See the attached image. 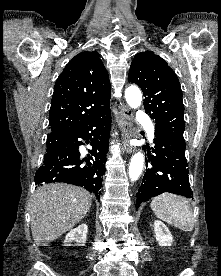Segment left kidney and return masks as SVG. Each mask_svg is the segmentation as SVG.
I'll list each match as a JSON object with an SVG mask.
<instances>
[{
    "instance_id": "obj_1",
    "label": "left kidney",
    "mask_w": 221,
    "mask_h": 276,
    "mask_svg": "<svg viewBox=\"0 0 221 276\" xmlns=\"http://www.w3.org/2000/svg\"><path fill=\"white\" fill-rule=\"evenodd\" d=\"M155 238L160 246H171L173 237L167 226L159 220L154 222Z\"/></svg>"
}]
</instances>
